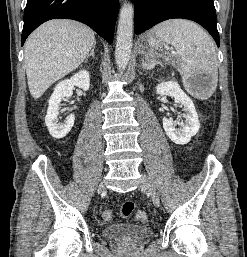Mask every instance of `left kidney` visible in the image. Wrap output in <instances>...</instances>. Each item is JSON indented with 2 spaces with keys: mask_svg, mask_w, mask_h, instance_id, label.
Segmentation results:
<instances>
[{
  "mask_svg": "<svg viewBox=\"0 0 247 257\" xmlns=\"http://www.w3.org/2000/svg\"><path fill=\"white\" fill-rule=\"evenodd\" d=\"M156 93L162 96L174 97L175 102L184 106L185 123L163 118V128L167 136L176 144H187L200 128L198 114L190 97L180 88L176 81L162 82L156 86ZM180 128H176V126Z\"/></svg>",
  "mask_w": 247,
  "mask_h": 257,
  "instance_id": "left-kidney-1",
  "label": "left kidney"
}]
</instances>
